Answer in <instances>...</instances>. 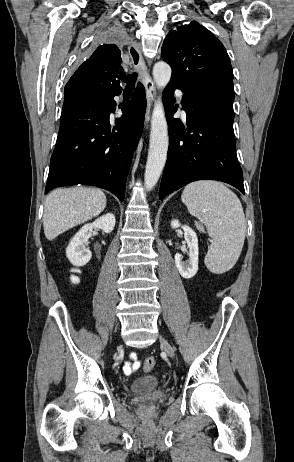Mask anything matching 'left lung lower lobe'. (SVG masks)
<instances>
[{
    "instance_id": "0a47b994",
    "label": "left lung lower lobe",
    "mask_w": 294,
    "mask_h": 462,
    "mask_svg": "<svg viewBox=\"0 0 294 462\" xmlns=\"http://www.w3.org/2000/svg\"><path fill=\"white\" fill-rule=\"evenodd\" d=\"M169 82L164 103L170 144L159 198L202 179L226 182L245 194L243 173L236 155L233 130L234 92L222 88L184 91L182 105L187 131L173 115L177 111L174 90Z\"/></svg>"
}]
</instances>
